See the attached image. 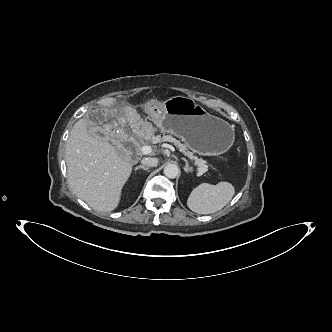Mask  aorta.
<instances>
[{"instance_id": "1", "label": "aorta", "mask_w": 332, "mask_h": 332, "mask_svg": "<svg viewBox=\"0 0 332 332\" xmlns=\"http://www.w3.org/2000/svg\"><path fill=\"white\" fill-rule=\"evenodd\" d=\"M179 174V168L175 164H168L164 168V175L170 179H174Z\"/></svg>"}]
</instances>
